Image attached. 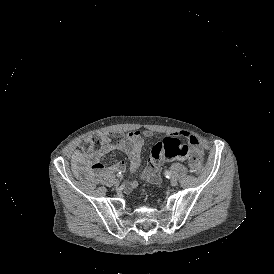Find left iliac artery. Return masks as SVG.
Listing matches in <instances>:
<instances>
[{"instance_id":"obj_1","label":"left iliac artery","mask_w":274,"mask_h":274,"mask_svg":"<svg viewBox=\"0 0 274 274\" xmlns=\"http://www.w3.org/2000/svg\"><path fill=\"white\" fill-rule=\"evenodd\" d=\"M164 175L166 178H170L172 173H171V171L167 170V171H165Z\"/></svg>"}]
</instances>
